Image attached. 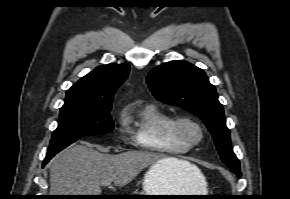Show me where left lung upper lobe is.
I'll return each mask as SVG.
<instances>
[{"instance_id":"obj_1","label":"left lung upper lobe","mask_w":290,"mask_h":199,"mask_svg":"<svg viewBox=\"0 0 290 199\" xmlns=\"http://www.w3.org/2000/svg\"><path fill=\"white\" fill-rule=\"evenodd\" d=\"M146 81L156 99L198 116L212 134L222 161L229 168L240 169L231 148L222 104L202 69L186 61L174 60L154 68Z\"/></svg>"}]
</instances>
